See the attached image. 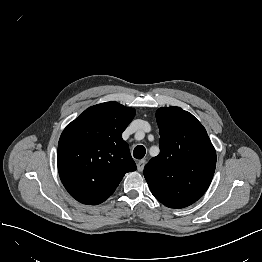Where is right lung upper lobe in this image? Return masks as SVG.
<instances>
[{
    "label": "right lung upper lobe",
    "mask_w": 262,
    "mask_h": 262,
    "mask_svg": "<svg viewBox=\"0 0 262 262\" xmlns=\"http://www.w3.org/2000/svg\"><path fill=\"white\" fill-rule=\"evenodd\" d=\"M135 116L133 108L116 102L85 110L62 132L58 172L77 201L97 205L112 195L127 172L136 170L122 132Z\"/></svg>",
    "instance_id": "1"
}]
</instances>
